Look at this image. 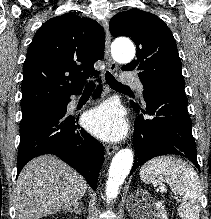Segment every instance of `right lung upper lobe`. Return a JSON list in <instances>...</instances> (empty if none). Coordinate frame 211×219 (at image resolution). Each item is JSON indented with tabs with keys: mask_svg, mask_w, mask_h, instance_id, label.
I'll list each match as a JSON object with an SVG mask.
<instances>
[{
	"mask_svg": "<svg viewBox=\"0 0 211 219\" xmlns=\"http://www.w3.org/2000/svg\"><path fill=\"white\" fill-rule=\"evenodd\" d=\"M103 28L94 20L67 13L36 32L23 66L21 105L63 100L81 91L104 56Z\"/></svg>",
	"mask_w": 211,
	"mask_h": 219,
	"instance_id": "1",
	"label": "right lung upper lobe"
}]
</instances>
